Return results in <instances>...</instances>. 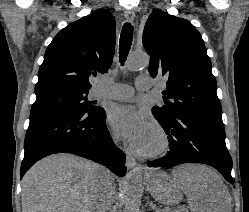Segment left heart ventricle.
Segmentation results:
<instances>
[{
  "instance_id": "left-heart-ventricle-1",
  "label": "left heart ventricle",
  "mask_w": 249,
  "mask_h": 212,
  "mask_svg": "<svg viewBox=\"0 0 249 212\" xmlns=\"http://www.w3.org/2000/svg\"><path fill=\"white\" fill-rule=\"evenodd\" d=\"M160 144V138L154 128L149 126L147 133L144 137L142 151L148 152L156 149Z\"/></svg>"
}]
</instances>
